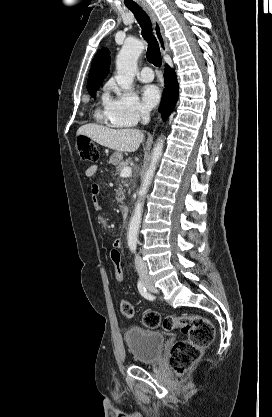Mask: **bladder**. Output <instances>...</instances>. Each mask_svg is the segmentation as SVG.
<instances>
[{
	"label": "bladder",
	"mask_w": 272,
	"mask_h": 417,
	"mask_svg": "<svg viewBox=\"0 0 272 417\" xmlns=\"http://www.w3.org/2000/svg\"><path fill=\"white\" fill-rule=\"evenodd\" d=\"M124 340L137 362L156 363L162 356L165 337L159 332L129 327L125 330Z\"/></svg>",
	"instance_id": "1"
}]
</instances>
